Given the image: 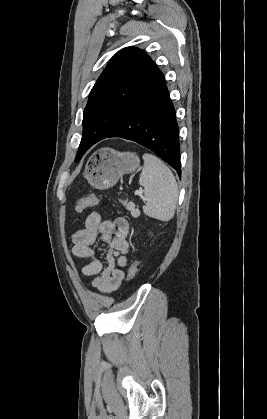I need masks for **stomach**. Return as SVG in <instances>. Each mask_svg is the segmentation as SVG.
<instances>
[{"mask_svg":"<svg viewBox=\"0 0 267 419\" xmlns=\"http://www.w3.org/2000/svg\"><path fill=\"white\" fill-rule=\"evenodd\" d=\"M140 167V158L133 152H119L112 148H101L88 159L84 177L96 189L113 187L126 173Z\"/></svg>","mask_w":267,"mask_h":419,"instance_id":"stomach-1","label":"stomach"}]
</instances>
